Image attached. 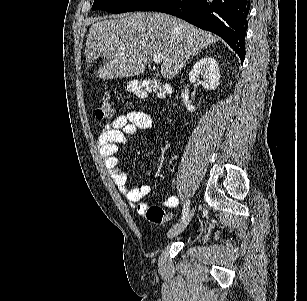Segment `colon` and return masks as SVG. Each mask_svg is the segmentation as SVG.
I'll return each instance as SVG.
<instances>
[{"instance_id": "obj_1", "label": "colon", "mask_w": 307, "mask_h": 301, "mask_svg": "<svg viewBox=\"0 0 307 301\" xmlns=\"http://www.w3.org/2000/svg\"><path fill=\"white\" fill-rule=\"evenodd\" d=\"M127 90L137 98H145L149 93H155L159 97L169 94V87L158 80H139L127 85ZM95 116L98 120H105L113 115V106L110 98L105 94L101 102L95 107ZM147 219L155 224H165L171 219V215L159 206H150L146 210Z\"/></svg>"}]
</instances>
